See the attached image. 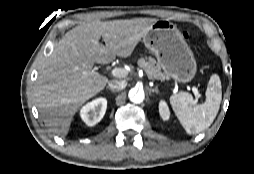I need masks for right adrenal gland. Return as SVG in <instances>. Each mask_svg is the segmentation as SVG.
Here are the masks:
<instances>
[{
	"label": "right adrenal gland",
	"instance_id": "2a0ac1e0",
	"mask_svg": "<svg viewBox=\"0 0 254 174\" xmlns=\"http://www.w3.org/2000/svg\"><path fill=\"white\" fill-rule=\"evenodd\" d=\"M107 89H109V90H110V88H108V87H107ZM111 92H115V91L111 90Z\"/></svg>",
	"mask_w": 254,
	"mask_h": 174
}]
</instances>
